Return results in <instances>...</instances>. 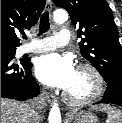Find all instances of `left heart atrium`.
Instances as JSON below:
<instances>
[{
	"label": "left heart atrium",
	"mask_w": 122,
	"mask_h": 123,
	"mask_svg": "<svg viewBox=\"0 0 122 123\" xmlns=\"http://www.w3.org/2000/svg\"><path fill=\"white\" fill-rule=\"evenodd\" d=\"M35 74L45 85L67 91L74 82L76 69L70 57L48 53L37 58Z\"/></svg>",
	"instance_id": "obj_1"
}]
</instances>
